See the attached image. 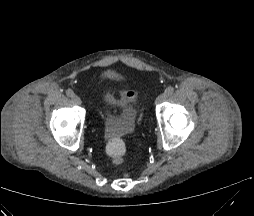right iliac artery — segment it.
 Listing matches in <instances>:
<instances>
[{
	"label": "right iliac artery",
	"instance_id": "obj_1",
	"mask_svg": "<svg viewBox=\"0 0 254 216\" xmlns=\"http://www.w3.org/2000/svg\"><path fill=\"white\" fill-rule=\"evenodd\" d=\"M66 94H67V96H69V97H73V96H74V92H73L72 89H67V90H66Z\"/></svg>",
	"mask_w": 254,
	"mask_h": 216
}]
</instances>
